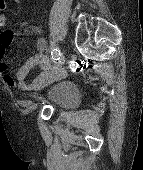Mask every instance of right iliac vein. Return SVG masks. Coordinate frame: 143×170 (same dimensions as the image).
<instances>
[{"instance_id": "obj_1", "label": "right iliac vein", "mask_w": 143, "mask_h": 170, "mask_svg": "<svg viewBox=\"0 0 143 170\" xmlns=\"http://www.w3.org/2000/svg\"><path fill=\"white\" fill-rule=\"evenodd\" d=\"M65 63V57L62 56L56 63L53 69L49 72L48 82L58 80L62 77V67Z\"/></svg>"}]
</instances>
